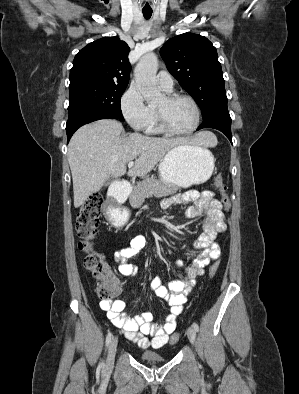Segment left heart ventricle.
<instances>
[{
	"instance_id": "obj_1",
	"label": "left heart ventricle",
	"mask_w": 299,
	"mask_h": 394,
	"mask_svg": "<svg viewBox=\"0 0 299 394\" xmlns=\"http://www.w3.org/2000/svg\"><path fill=\"white\" fill-rule=\"evenodd\" d=\"M156 108L162 110L170 126L179 131L190 129L196 120L195 110L192 104L185 99H178L173 102H167L163 97L157 104Z\"/></svg>"
}]
</instances>
